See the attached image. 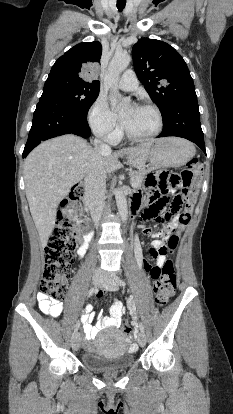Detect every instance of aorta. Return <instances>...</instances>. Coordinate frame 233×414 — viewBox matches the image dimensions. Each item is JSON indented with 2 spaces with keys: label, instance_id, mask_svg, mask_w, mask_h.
Returning <instances> with one entry per match:
<instances>
[{
  "label": "aorta",
  "instance_id": "762f6f07",
  "mask_svg": "<svg viewBox=\"0 0 233 414\" xmlns=\"http://www.w3.org/2000/svg\"><path fill=\"white\" fill-rule=\"evenodd\" d=\"M131 61V56L127 53H116L109 63L106 76L104 78V85L114 95H119L118 81L121 73L128 67ZM130 103V98H124L119 106H126ZM116 204L119 215L123 222L128 217V207L125 195L122 190L117 188L114 190Z\"/></svg>",
  "mask_w": 233,
  "mask_h": 414
}]
</instances>
